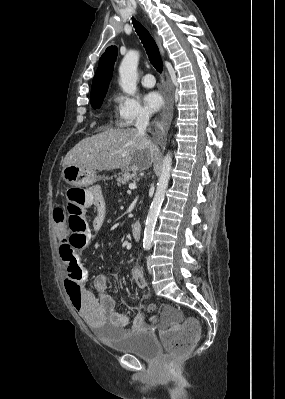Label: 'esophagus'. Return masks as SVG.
Masks as SVG:
<instances>
[{
	"instance_id": "obj_1",
	"label": "esophagus",
	"mask_w": 285,
	"mask_h": 399,
	"mask_svg": "<svg viewBox=\"0 0 285 399\" xmlns=\"http://www.w3.org/2000/svg\"><path fill=\"white\" fill-rule=\"evenodd\" d=\"M156 40H157V44H158V46H159V49H160L161 55H162V57H164V56H165L164 49H163V47H162V45H161L160 41L158 40V38H156ZM168 115H169V120H171V115H172V110H171V109L169 110V113H168Z\"/></svg>"
}]
</instances>
